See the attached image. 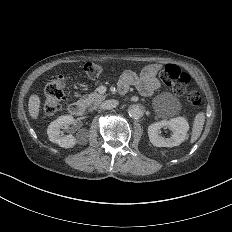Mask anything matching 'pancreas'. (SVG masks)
<instances>
[{"label":"pancreas","instance_id":"obj_1","mask_svg":"<svg viewBox=\"0 0 232 232\" xmlns=\"http://www.w3.org/2000/svg\"><path fill=\"white\" fill-rule=\"evenodd\" d=\"M105 97L106 95L93 92L89 94L86 98L79 100V102L83 103L87 108H89V110H94L100 105Z\"/></svg>","mask_w":232,"mask_h":232}]
</instances>
